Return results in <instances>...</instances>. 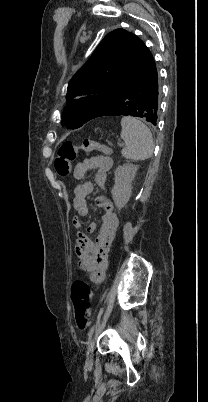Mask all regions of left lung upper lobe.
<instances>
[{"label":"left lung upper lobe","mask_w":208,"mask_h":402,"mask_svg":"<svg viewBox=\"0 0 208 402\" xmlns=\"http://www.w3.org/2000/svg\"><path fill=\"white\" fill-rule=\"evenodd\" d=\"M142 43L132 33L107 34L68 85L63 123L76 129L92 120L117 97L137 70Z\"/></svg>","instance_id":"5c2ea615"}]
</instances>
